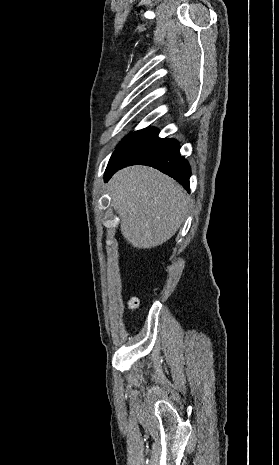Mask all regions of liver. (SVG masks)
I'll return each mask as SVG.
<instances>
[{
    "label": "liver",
    "mask_w": 279,
    "mask_h": 465,
    "mask_svg": "<svg viewBox=\"0 0 279 465\" xmlns=\"http://www.w3.org/2000/svg\"><path fill=\"white\" fill-rule=\"evenodd\" d=\"M121 233L134 248L150 249L168 241L183 223L189 199L183 187L143 165L123 168L109 181Z\"/></svg>",
    "instance_id": "6515ba94"
}]
</instances>
